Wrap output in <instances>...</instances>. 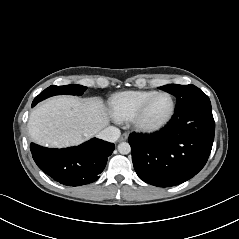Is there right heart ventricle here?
Returning <instances> with one entry per match:
<instances>
[{"mask_svg":"<svg viewBox=\"0 0 239 239\" xmlns=\"http://www.w3.org/2000/svg\"><path fill=\"white\" fill-rule=\"evenodd\" d=\"M151 90H128L115 93L109 99V109L117 120H129L141 103L154 94Z\"/></svg>","mask_w":239,"mask_h":239,"instance_id":"1","label":"right heart ventricle"}]
</instances>
